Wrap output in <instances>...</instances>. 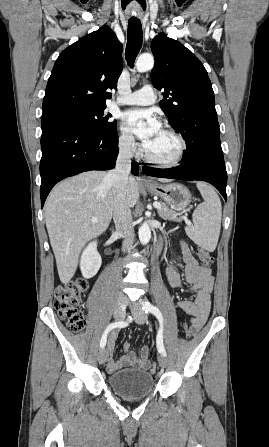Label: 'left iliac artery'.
Wrapping results in <instances>:
<instances>
[{
    "mask_svg": "<svg viewBox=\"0 0 269 447\" xmlns=\"http://www.w3.org/2000/svg\"><path fill=\"white\" fill-rule=\"evenodd\" d=\"M142 309L146 313L154 314L157 317V319L159 320L160 329H159V332H158L157 338H156L157 349L160 354L166 356V351H165L164 344H163V316H162V313L160 312V310L157 307H155L154 305H152L150 302H147V301L142 303Z\"/></svg>",
    "mask_w": 269,
    "mask_h": 447,
    "instance_id": "44dca946",
    "label": "left iliac artery"
}]
</instances>
